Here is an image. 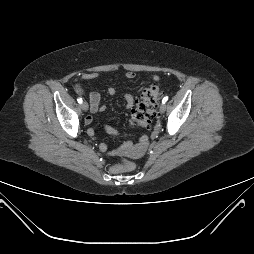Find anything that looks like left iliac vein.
<instances>
[{
	"instance_id": "obj_1",
	"label": "left iliac vein",
	"mask_w": 254,
	"mask_h": 254,
	"mask_svg": "<svg viewBox=\"0 0 254 254\" xmlns=\"http://www.w3.org/2000/svg\"><path fill=\"white\" fill-rule=\"evenodd\" d=\"M159 110H160L161 113H164L165 110H166V105L162 103V104L160 105V109H159Z\"/></svg>"
}]
</instances>
